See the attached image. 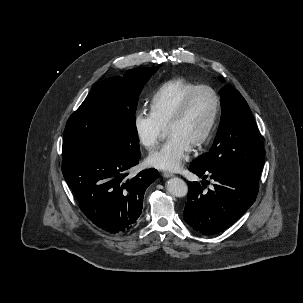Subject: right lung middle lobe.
Here are the masks:
<instances>
[{
    "mask_svg": "<svg viewBox=\"0 0 303 303\" xmlns=\"http://www.w3.org/2000/svg\"><path fill=\"white\" fill-rule=\"evenodd\" d=\"M157 67L128 70L123 78L99 82L70 116L63 135V154L99 139L128 156H140L135 127L138 96Z\"/></svg>",
    "mask_w": 303,
    "mask_h": 303,
    "instance_id": "obj_1",
    "label": "right lung middle lobe"
}]
</instances>
